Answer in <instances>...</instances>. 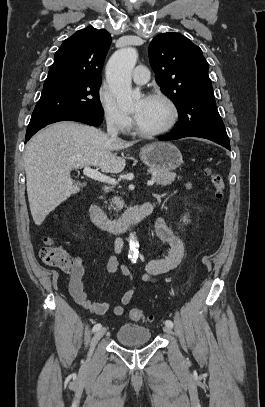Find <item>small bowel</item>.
<instances>
[{
  "instance_id": "c3829d8e",
  "label": "small bowel",
  "mask_w": 265,
  "mask_h": 407,
  "mask_svg": "<svg viewBox=\"0 0 265 407\" xmlns=\"http://www.w3.org/2000/svg\"><path fill=\"white\" fill-rule=\"evenodd\" d=\"M187 187L189 185L187 184ZM155 233L159 239L169 244L170 249L167 255L162 258L152 259L145 266L143 278L145 280H153L156 277L177 267L184 255V244L182 240L170 229L165 221L159 218L155 223ZM107 269L112 274H119L132 278V274L127 267H120L115 255L111 256L107 262ZM85 269L80 258H76L74 266L70 271L69 292L74 300L83 308L95 315L105 314L111 304L108 301H93L88 299L84 291L83 277ZM135 293V288L127 290L119 302L113 306L115 315L121 316L125 311V306L128 305Z\"/></svg>"
}]
</instances>
